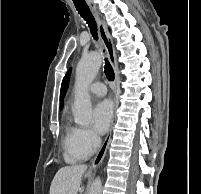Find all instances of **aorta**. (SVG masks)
Returning a JSON list of instances; mask_svg holds the SVG:
<instances>
[{
  "instance_id": "762f6f07",
  "label": "aorta",
  "mask_w": 201,
  "mask_h": 194,
  "mask_svg": "<svg viewBox=\"0 0 201 194\" xmlns=\"http://www.w3.org/2000/svg\"><path fill=\"white\" fill-rule=\"evenodd\" d=\"M102 64L101 54L92 52L84 56L76 67L75 101L72 106L75 123L88 126L92 120V106L88 87L95 79ZM102 181L97 177L90 188L89 194H101Z\"/></svg>"
}]
</instances>
